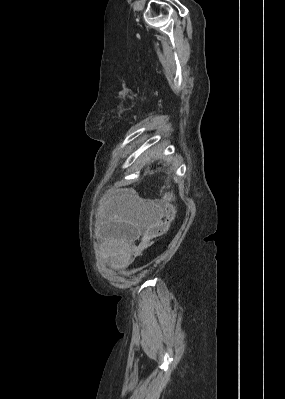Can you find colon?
Here are the masks:
<instances>
[{"label": "colon", "instance_id": "colon-1", "mask_svg": "<svg viewBox=\"0 0 285 399\" xmlns=\"http://www.w3.org/2000/svg\"><path fill=\"white\" fill-rule=\"evenodd\" d=\"M159 210L161 212L160 219L154 226V229L151 231L150 235L136 244L138 249H147L157 237H159L168 229L173 218L174 209L171 205H165Z\"/></svg>", "mask_w": 285, "mask_h": 399}]
</instances>
